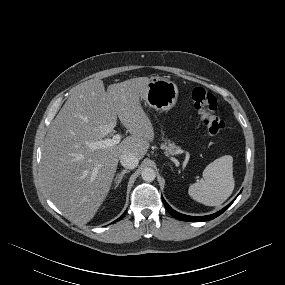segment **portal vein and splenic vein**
<instances>
[{
    "label": "portal vein and splenic vein",
    "mask_w": 285,
    "mask_h": 285,
    "mask_svg": "<svg viewBox=\"0 0 285 285\" xmlns=\"http://www.w3.org/2000/svg\"><path fill=\"white\" fill-rule=\"evenodd\" d=\"M121 141V134H115L112 139H105L100 140L97 142H92L88 144V147L91 149H101V148H107L111 147L113 145L118 144Z\"/></svg>",
    "instance_id": "obj_1"
}]
</instances>
